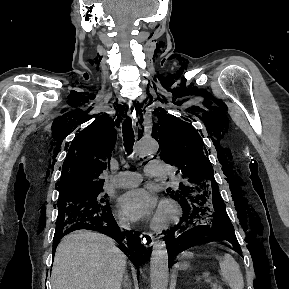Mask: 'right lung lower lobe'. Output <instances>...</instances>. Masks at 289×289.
Here are the masks:
<instances>
[{"label": "right lung lower lobe", "mask_w": 289, "mask_h": 289, "mask_svg": "<svg viewBox=\"0 0 289 289\" xmlns=\"http://www.w3.org/2000/svg\"><path fill=\"white\" fill-rule=\"evenodd\" d=\"M79 229L94 230L110 236L123 247V252L129 257L131 262L136 267L140 265V263L144 260V256L146 257L147 255L146 254L143 256V253L145 252L143 251V247L141 245V240L139 237L140 233L136 231H128L126 234L127 237L124 238V235L119 232V227L112 215L111 210L101 216L82 218L61 235L55 234L53 241V253H55L56 246L64 235Z\"/></svg>", "instance_id": "obj_1"}]
</instances>
